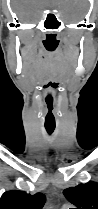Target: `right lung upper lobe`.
Segmentation results:
<instances>
[{"label":"right lung upper lobe","instance_id":"obj_1","mask_svg":"<svg viewBox=\"0 0 98 209\" xmlns=\"http://www.w3.org/2000/svg\"><path fill=\"white\" fill-rule=\"evenodd\" d=\"M46 197L42 193L34 195L23 191L11 190L1 196L0 209H42Z\"/></svg>","mask_w":98,"mask_h":209}]
</instances>
